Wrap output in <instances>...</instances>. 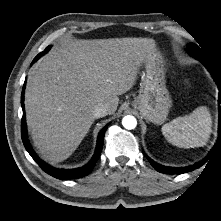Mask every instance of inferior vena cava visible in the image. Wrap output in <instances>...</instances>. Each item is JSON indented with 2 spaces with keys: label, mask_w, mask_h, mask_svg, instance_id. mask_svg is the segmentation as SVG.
<instances>
[{
  "label": "inferior vena cava",
  "mask_w": 221,
  "mask_h": 221,
  "mask_svg": "<svg viewBox=\"0 0 221 221\" xmlns=\"http://www.w3.org/2000/svg\"><path fill=\"white\" fill-rule=\"evenodd\" d=\"M108 113H109V109H108V106L105 104H98L93 111V115L95 118L104 117Z\"/></svg>",
  "instance_id": "obj_1"
}]
</instances>
